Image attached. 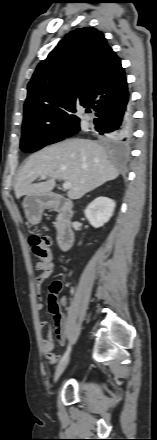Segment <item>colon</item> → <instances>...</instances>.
<instances>
[{
	"mask_svg": "<svg viewBox=\"0 0 157 440\" xmlns=\"http://www.w3.org/2000/svg\"><path fill=\"white\" fill-rule=\"evenodd\" d=\"M30 245L34 254L40 259V262H50L51 252L49 250V239L45 235L33 234L29 238ZM61 282L54 281L48 287V304L53 310L59 308L58 295L61 291Z\"/></svg>",
	"mask_w": 157,
	"mask_h": 440,
	"instance_id": "5ec220e1",
	"label": "colon"
}]
</instances>
